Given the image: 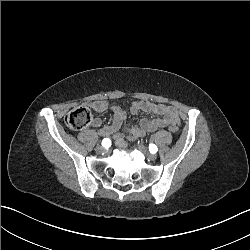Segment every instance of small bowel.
Wrapping results in <instances>:
<instances>
[{
	"label": "small bowel",
	"mask_w": 250,
	"mask_h": 250,
	"mask_svg": "<svg viewBox=\"0 0 250 250\" xmlns=\"http://www.w3.org/2000/svg\"><path fill=\"white\" fill-rule=\"evenodd\" d=\"M88 107L95 112H104L110 110L113 115L112 123L108 126L102 127V121L99 118H95L91 125L92 127L99 128V135L101 137L113 136L116 145L122 148L126 145V135L120 132V128L125 121V112L122 108L116 105H109L105 101H91ZM130 111L132 114H136L139 111L155 114L158 117L153 119L143 118L140 121L139 126H130L126 129L127 138L134 140L144 136L146 132H153L160 128H165L169 123H176L179 127L180 118L177 110L167 104H155L147 101L134 102Z\"/></svg>",
	"instance_id": "1"
}]
</instances>
